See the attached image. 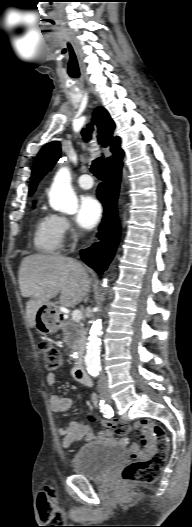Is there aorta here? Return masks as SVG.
Segmentation results:
<instances>
[{"instance_id": "762f6f07", "label": "aorta", "mask_w": 192, "mask_h": 527, "mask_svg": "<svg viewBox=\"0 0 192 527\" xmlns=\"http://www.w3.org/2000/svg\"><path fill=\"white\" fill-rule=\"evenodd\" d=\"M50 204L58 211L67 214H75L78 210V200L71 186V173L68 167L60 168L53 180L50 190ZM103 287H107V279L103 280ZM101 319H96L91 327L85 365L87 371L92 376H97L101 370Z\"/></svg>"}]
</instances>
